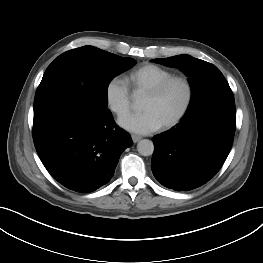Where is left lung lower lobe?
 Here are the masks:
<instances>
[{
  "label": "left lung lower lobe",
  "mask_w": 263,
  "mask_h": 263,
  "mask_svg": "<svg viewBox=\"0 0 263 263\" xmlns=\"http://www.w3.org/2000/svg\"><path fill=\"white\" fill-rule=\"evenodd\" d=\"M235 129L234 102L213 103L184 116L176 127L153 137V175L163 186L175 191L204 185L224 164Z\"/></svg>",
  "instance_id": "0a47b994"
}]
</instances>
